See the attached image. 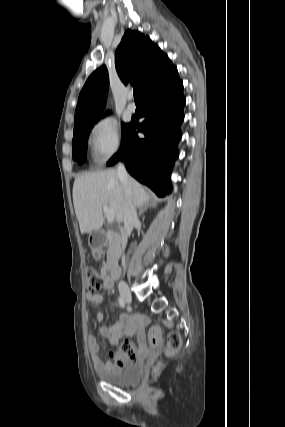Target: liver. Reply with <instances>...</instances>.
<instances>
[{
  "instance_id": "obj_1",
  "label": "liver",
  "mask_w": 285,
  "mask_h": 427,
  "mask_svg": "<svg viewBox=\"0 0 285 427\" xmlns=\"http://www.w3.org/2000/svg\"><path fill=\"white\" fill-rule=\"evenodd\" d=\"M134 205L142 207L149 194L136 180L130 178ZM73 203L81 233L99 230L104 221L103 206L115 212L116 221H124L125 195L118 173L114 169L89 172L77 176L73 185Z\"/></svg>"
}]
</instances>
